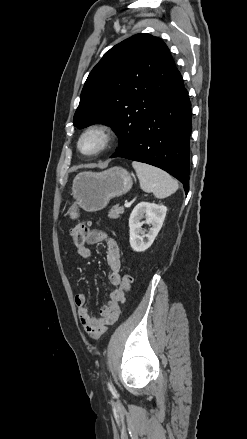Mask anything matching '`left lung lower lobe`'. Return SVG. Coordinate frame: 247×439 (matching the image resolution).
I'll use <instances>...</instances> for the list:
<instances>
[{
  "label": "left lung lower lobe",
  "mask_w": 247,
  "mask_h": 439,
  "mask_svg": "<svg viewBox=\"0 0 247 439\" xmlns=\"http://www.w3.org/2000/svg\"><path fill=\"white\" fill-rule=\"evenodd\" d=\"M191 103L183 80L163 94L154 111L139 125L132 142L111 157L144 162L159 167L184 185L189 191V137L191 133Z\"/></svg>",
  "instance_id": "0a47b994"
}]
</instances>
